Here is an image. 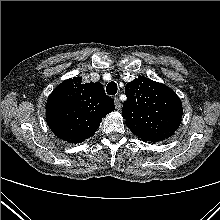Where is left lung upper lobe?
<instances>
[{
	"label": "left lung upper lobe",
	"instance_id": "5c2ea615",
	"mask_svg": "<svg viewBox=\"0 0 220 220\" xmlns=\"http://www.w3.org/2000/svg\"><path fill=\"white\" fill-rule=\"evenodd\" d=\"M122 115L133 134L145 142L169 138L182 120V104L169 87L139 77L126 84Z\"/></svg>",
	"mask_w": 220,
	"mask_h": 220
}]
</instances>
